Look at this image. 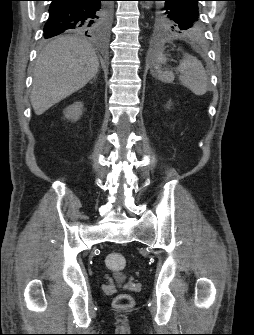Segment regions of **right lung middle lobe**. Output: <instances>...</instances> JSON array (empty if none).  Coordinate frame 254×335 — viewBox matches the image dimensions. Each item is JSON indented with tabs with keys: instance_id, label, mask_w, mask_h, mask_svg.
Listing matches in <instances>:
<instances>
[{
	"instance_id": "right-lung-middle-lobe-1",
	"label": "right lung middle lobe",
	"mask_w": 254,
	"mask_h": 335,
	"mask_svg": "<svg viewBox=\"0 0 254 335\" xmlns=\"http://www.w3.org/2000/svg\"><path fill=\"white\" fill-rule=\"evenodd\" d=\"M110 12H111V6L109 3H103L102 5V11L100 13V18L98 21L94 24V26L90 29L87 33H97L105 31L110 19ZM78 33H86L85 30H79L76 31Z\"/></svg>"
}]
</instances>
